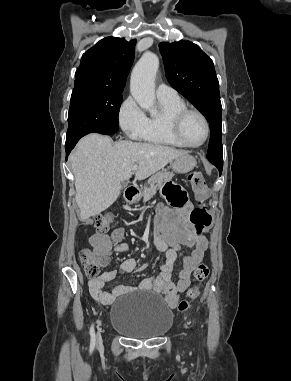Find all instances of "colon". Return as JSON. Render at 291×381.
<instances>
[{"mask_svg": "<svg viewBox=\"0 0 291 381\" xmlns=\"http://www.w3.org/2000/svg\"><path fill=\"white\" fill-rule=\"evenodd\" d=\"M190 182L193 190L198 198L199 206L196 207L190 215V221L195 228L197 235H203L209 229L212 217L203 207L205 198L208 194V187L206 185L204 176L200 172H194L190 176ZM167 188L165 189V191ZM175 205H181L183 199L176 197L172 198ZM115 215L112 212H103L95 217L89 219L87 224L95 227L99 234H103L108 231L111 225L114 223ZM80 259L84 266L85 275L89 278H94L98 275L101 267L105 266L109 262V254L105 251H95L90 249H82L80 251ZM209 276V267L201 263L196 266L194 270V278L197 284L191 286L186 295V299H183L178 304V310L184 312L189 307V302L197 299L200 295L201 287L200 283L205 281Z\"/></svg>", "mask_w": 291, "mask_h": 381, "instance_id": "colon-1", "label": "colon"}]
</instances>
